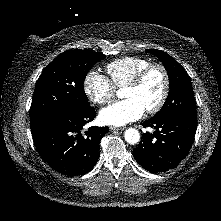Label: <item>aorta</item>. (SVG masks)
<instances>
[{
	"label": "aorta",
	"mask_w": 221,
	"mask_h": 221,
	"mask_svg": "<svg viewBox=\"0 0 221 221\" xmlns=\"http://www.w3.org/2000/svg\"><path fill=\"white\" fill-rule=\"evenodd\" d=\"M124 137L129 144H136L140 141V133L134 128H128L124 133Z\"/></svg>",
	"instance_id": "obj_1"
}]
</instances>
